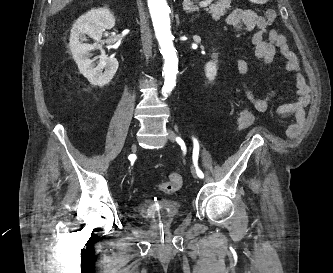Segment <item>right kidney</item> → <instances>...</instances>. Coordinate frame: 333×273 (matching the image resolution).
I'll return each instance as SVG.
<instances>
[{
  "mask_svg": "<svg viewBox=\"0 0 333 273\" xmlns=\"http://www.w3.org/2000/svg\"><path fill=\"white\" fill-rule=\"evenodd\" d=\"M115 26V17L106 7L91 9L74 23L69 48L80 73L94 85L103 87L114 77L118 69L116 58L108 57L99 44L106 29ZM86 35L95 40L93 44L84 43ZM99 49L101 54L90 59L92 50ZM96 62V63H95Z\"/></svg>",
  "mask_w": 333,
  "mask_h": 273,
  "instance_id": "obj_1",
  "label": "right kidney"
}]
</instances>
